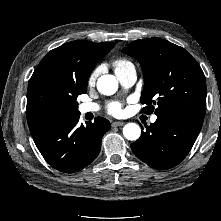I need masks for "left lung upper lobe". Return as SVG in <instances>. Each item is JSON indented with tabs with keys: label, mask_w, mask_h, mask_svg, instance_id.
<instances>
[{
	"label": "left lung upper lobe",
	"mask_w": 221,
	"mask_h": 221,
	"mask_svg": "<svg viewBox=\"0 0 221 221\" xmlns=\"http://www.w3.org/2000/svg\"><path fill=\"white\" fill-rule=\"evenodd\" d=\"M139 61L144 76L142 112L157 116L184 113L204 118L206 81L196 60L182 47L161 38L137 40L123 49ZM155 105V107H154Z\"/></svg>",
	"instance_id": "1"
}]
</instances>
